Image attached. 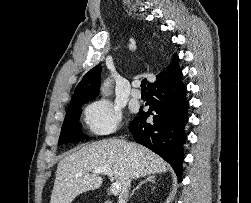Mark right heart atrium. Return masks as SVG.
Here are the masks:
<instances>
[{"mask_svg":"<svg viewBox=\"0 0 251 203\" xmlns=\"http://www.w3.org/2000/svg\"><path fill=\"white\" fill-rule=\"evenodd\" d=\"M85 120L92 133L108 135L118 128L121 110L108 100H97L86 108Z\"/></svg>","mask_w":251,"mask_h":203,"instance_id":"1","label":"right heart atrium"}]
</instances>
